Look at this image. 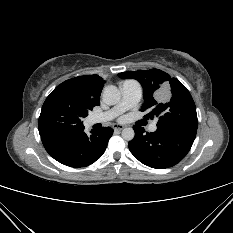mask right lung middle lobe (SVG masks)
Instances as JSON below:
<instances>
[{
    "instance_id": "dd1d6c3e",
    "label": "right lung middle lobe",
    "mask_w": 233,
    "mask_h": 233,
    "mask_svg": "<svg viewBox=\"0 0 233 233\" xmlns=\"http://www.w3.org/2000/svg\"><path fill=\"white\" fill-rule=\"evenodd\" d=\"M99 101L61 83L45 100L39 117V133L46 131H69L83 126L82 119Z\"/></svg>"
}]
</instances>
